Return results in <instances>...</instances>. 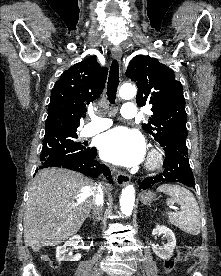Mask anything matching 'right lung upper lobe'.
<instances>
[{
    "label": "right lung upper lobe",
    "mask_w": 221,
    "mask_h": 276,
    "mask_svg": "<svg viewBox=\"0 0 221 276\" xmlns=\"http://www.w3.org/2000/svg\"><path fill=\"white\" fill-rule=\"evenodd\" d=\"M107 71L89 57L61 75L51 91L45 134L76 131L89 103L100 97Z\"/></svg>",
    "instance_id": "cb5924a9"
}]
</instances>
